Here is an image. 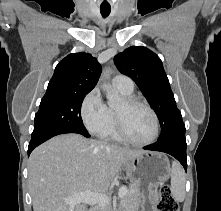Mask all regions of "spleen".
Returning a JSON list of instances; mask_svg holds the SVG:
<instances>
[{
  "mask_svg": "<svg viewBox=\"0 0 221 211\" xmlns=\"http://www.w3.org/2000/svg\"><path fill=\"white\" fill-rule=\"evenodd\" d=\"M171 194L175 201L183 202L185 198V172L177 162H172L171 168Z\"/></svg>",
  "mask_w": 221,
  "mask_h": 211,
  "instance_id": "1",
  "label": "spleen"
}]
</instances>
